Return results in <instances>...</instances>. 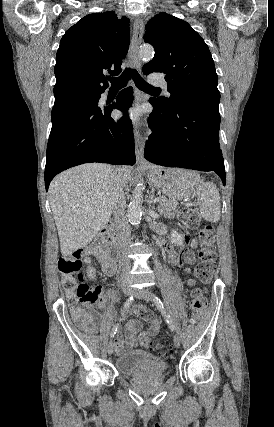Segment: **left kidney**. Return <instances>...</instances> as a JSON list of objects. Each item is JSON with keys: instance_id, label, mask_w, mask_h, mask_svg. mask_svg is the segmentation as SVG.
I'll return each instance as SVG.
<instances>
[{"instance_id": "left-kidney-1", "label": "left kidney", "mask_w": 274, "mask_h": 427, "mask_svg": "<svg viewBox=\"0 0 274 427\" xmlns=\"http://www.w3.org/2000/svg\"><path fill=\"white\" fill-rule=\"evenodd\" d=\"M170 239L172 243H176V245H182L183 243V235L182 233H178L176 229H172Z\"/></svg>"}]
</instances>
